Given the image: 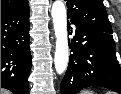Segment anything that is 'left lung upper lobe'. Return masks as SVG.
I'll return each instance as SVG.
<instances>
[{
	"label": "left lung upper lobe",
	"instance_id": "left-lung-upper-lobe-1",
	"mask_svg": "<svg viewBox=\"0 0 121 94\" xmlns=\"http://www.w3.org/2000/svg\"><path fill=\"white\" fill-rule=\"evenodd\" d=\"M71 21L112 34V28L102 0H65Z\"/></svg>",
	"mask_w": 121,
	"mask_h": 94
}]
</instances>
